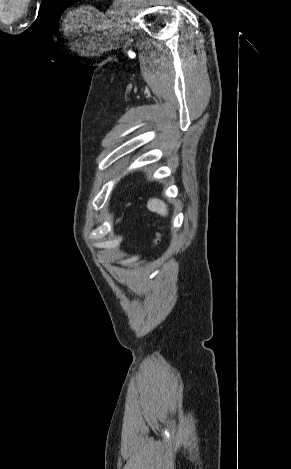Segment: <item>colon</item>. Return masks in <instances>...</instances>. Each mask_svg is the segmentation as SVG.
Listing matches in <instances>:
<instances>
[{
    "mask_svg": "<svg viewBox=\"0 0 291 469\" xmlns=\"http://www.w3.org/2000/svg\"><path fill=\"white\" fill-rule=\"evenodd\" d=\"M159 242V235L157 234L155 240H154V245H156Z\"/></svg>",
    "mask_w": 291,
    "mask_h": 469,
    "instance_id": "obj_1",
    "label": "colon"
}]
</instances>
